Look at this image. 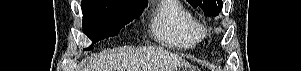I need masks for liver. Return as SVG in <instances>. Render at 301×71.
I'll return each instance as SVG.
<instances>
[{"label":"liver","mask_w":301,"mask_h":71,"mask_svg":"<svg viewBox=\"0 0 301 71\" xmlns=\"http://www.w3.org/2000/svg\"><path fill=\"white\" fill-rule=\"evenodd\" d=\"M187 64L181 57L161 49L119 48L95 55L80 71H176Z\"/></svg>","instance_id":"1"}]
</instances>
